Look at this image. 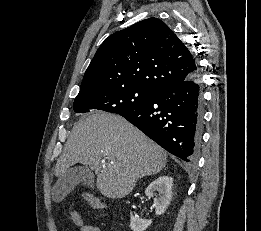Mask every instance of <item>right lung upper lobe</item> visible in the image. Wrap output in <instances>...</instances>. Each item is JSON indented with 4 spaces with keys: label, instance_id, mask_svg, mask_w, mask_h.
Instances as JSON below:
<instances>
[{
    "label": "right lung upper lobe",
    "instance_id": "right-lung-upper-lobe-1",
    "mask_svg": "<svg viewBox=\"0 0 261 231\" xmlns=\"http://www.w3.org/2000/svg\"><path fill=\"white\" fill-rule=\"evenodd\" d=\"M197 71L185 44L163 21L149 18L102 43L85 72L78 95L126 86L156 93Z\"/></svg>",
    "mask_w": 261,
    "mask_h": 231
}]
</instances>
